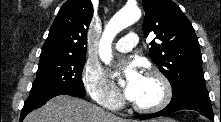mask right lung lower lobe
Here are the masks:
<instances>
[{"label":"right lung lower lobe","mask_w":221,"mask_h":122,"mask_svg":"<svg viewBox=\"0 0 221 122\" xmlns=\"http://www.w3.org/2000/svg\"><path fill=\"white\" fill-rule=\"evenodd\" d=\"M58 95H70L74 97H84L85 92L74 90L71 88H58V89H54V90H50L46 92L30 94L28 99L25 101L24 107L21 111L20 122L23 121V119L28 113H30L34 109L41 107L49 99Z\"/></svg>","instance_id":"1"}]
</instances>
